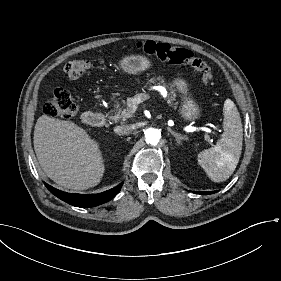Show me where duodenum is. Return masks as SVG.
<instances>
[{
    "label": "duodenum",
    "mask_w": 281,
    "mask_h": 281,
    "mask_svg": "<svg viewBox=\"0 0 281 281\" xmlns=\"http://www.w3.org/2000/svg\"><path fill=\"white\" fill-rule=\"evenodd\" d=\"M82 121L87 125L97 126L104 122V117L91 111H85L82 114Z\"/></svg>",
    "instance_id": "duodenum-1"
}]
</instances>
